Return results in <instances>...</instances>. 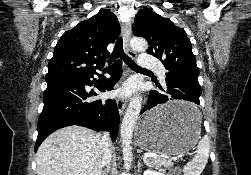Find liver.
Returning <instances> with one entry per match:
<instances>
[{
    "label": "liver",
    "mask_w": 251,
    "mask_h": 175,
    "mask_svg": "<svg viewBox=\"0 0 251 175\" xmlns=\"http://www.w3.org/2000/svg\"><path fill=\"white\" fill-rule=\"evenodd\" d=\"M103 145L100 133L68 125L44 139L36 153L38 175H100Z\"/></svg>",
    "instance_id": "1"
}]
</instances>
